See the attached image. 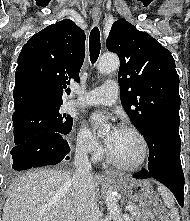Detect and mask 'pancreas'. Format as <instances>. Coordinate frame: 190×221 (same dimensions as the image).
<instances>
[{"label": "pancreas", "instance_id": "obj_1", "mask_svg": "<svg viewBox=\"0 0 190 221\" xmlns=\"http://www.w3.org/2000/svg\"><path fill=\"white\" fill-rule=\"evenodd\" d=\"M132 206L134 207V209L130 211V214L134 221H148L145 213L141 209H139L137 205L132 204Z\"/></svg>", "mask_w": 190, "mask_h": 221}]
</instances>
